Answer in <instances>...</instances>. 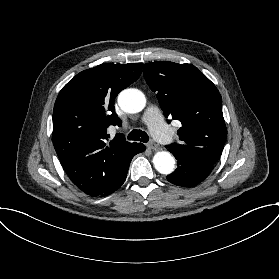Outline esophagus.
Returning a JSON list of instances; mask_svg holds the SVG:
<instances>
[{
  "instance_id": "esophagus-1",
  "label": "esophagus",
  "mask_w": 279,
  "mask_h": 279,
  "mask_svg": "<svg viewBox=\"0 0 279 279\" xmlns=\"http://www.w3.org/2000/svg\"><path fill=\"white\" fill-rule=\"evenodd\" d=\"M148 147L154 151H158L159 150V146L155 143V142H150L148 144Z\"/></svg>"
}]
</instances>
